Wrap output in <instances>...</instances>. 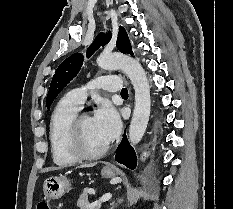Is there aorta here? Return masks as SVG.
Listing matches in <instances>:
<instances>
[{"label": "aorta", "instance_id": "1", "mask_svg": "<svg viewBox=\"0 0 233 209\" xmlns=\"http://www.w3.org/2000/svg\"><path fill=\"white\" fill-rule=\"evenodd\" d=\"M97 64L103 69H121L133 85L135 106L128 137L130 144L135 146L142 139L150 116L151 99L147 75L139 61L119 53L101 54L97 58Z\"/></svg>", "mask_w": 233, "mask_h": 209}]
</instances>
